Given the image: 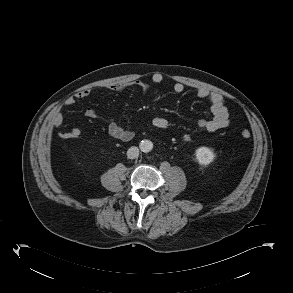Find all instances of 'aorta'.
Here are the masks:
<instances>
[{"mask_svg": "<svg viewBox=\"0 0 293 293\" xmlns=\"http://www.w3.org/2000/svg\"><path fill=\"white\" fill-rule=\"evenodd\" d=\"M140 150L144 153H148L153 148V143L150 140H142L139 144Z\"/></svg>", "mask_w": 293, "mask_h": 293, "instance_id": "1", "label": "aorta"}]
</instances>
